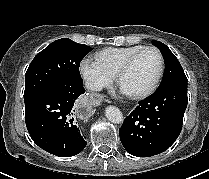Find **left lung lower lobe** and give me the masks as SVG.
<instances>
[{
    "label": "left lung lower lobe",
    "instance_id": "1",
    "mask_svg": "<svg viewBox=\"0 0 209 179\" xmlns=\"http://www.w3.org/2000/svg\"><path fill=\"white\" fill-rule=\"evenodd\" d=\"M187 102V82L157 90L140 101L119 129L126 151L149 157L167 150L181 132Z\"/></svg>",
    "mask_w": 209,
    "mask_h": 179
}]
</instances>
